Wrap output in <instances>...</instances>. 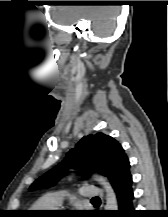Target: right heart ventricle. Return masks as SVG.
Here are the masks:
<instances>
[{"mask_svg": "<svg viewBox=\"0 0 168 217\" xmlns=\"http://www.w3.org/2000/svg\"><path fill=\"white\" fill-rule=\"evenodd\" d=\"M51 208H54L53 206L47 204L45 202L44 199H40L38 200L33 206H32V209L33 210H48V209H51Z\"/></svg>", "mask_w": 168, "mask_h": 217, "instance_id": "1", "label": "right heart ventricle"}]
</instances>
